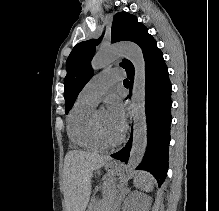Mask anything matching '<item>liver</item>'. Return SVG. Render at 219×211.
Here are the masks:
<instances>
[{
	"mask_svg": "<svg viewBox=\"0 0 219 211\" xmlns=\"http://www.w3.org/2000/svg\"><path fill=\"white\" fill-rule=\"evenodd\" d=\"M110 155H99L90 151L73 149L64 159V197L67 211H85L91 193L94 169H100Z\"/></svg>",
	"mask_w": 219,
	"mask_h": 211,
	"instance_id": "obj_1",
	"label": "liver"
}]
</instances>
